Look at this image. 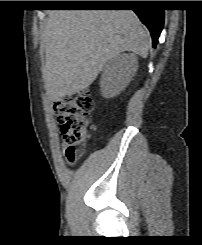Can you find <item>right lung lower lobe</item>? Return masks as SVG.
<instances>
[{"label": "right lung lower lobe", "mask_w": 202, "mask_h": 245, "mask_svg": "<svg viewBox=\"0 0 202 245\" xmlns=\"http://www.w3.org/2000/svg\"><path fill=\"white\" fill-rule=\"evenodd\" d=\"M149 4L150 3L148 1H135L133 3L135 7L133 11L138 15L142 23L146 25L147 28L149 29L152 36L153 47L155 48L158 43V38L160 36L164 24V10L150 8ZM81 5L95 6V7L113 6L109 4L92 3V2L83 3Z\"/></svg>", "instance_id": "obj_1"}]
</instances>
